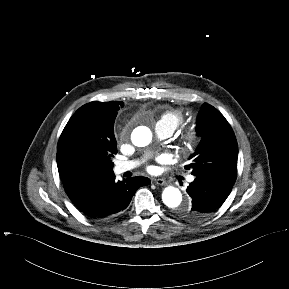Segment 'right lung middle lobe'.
Segmentation results:
<instances>
[{"label": "right lung middle lobe", "instance_id": "1", "mask_svg": "<svg viewBox=\"0 0 289 289\" xmlns=\"http://www.w3.org/2000/svg\"><path fill=\"white\" fill-rule=\"evenodd\" d=\"M123 103L90 102L79 108L65 126L58 148L66 159L90 170L113 167L117 153L114 121Z\"/></svg>", "mask_w": 289, "mask_h": 289}]
</instances>
